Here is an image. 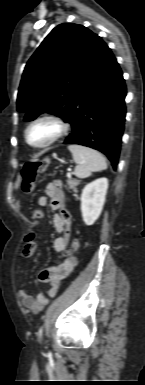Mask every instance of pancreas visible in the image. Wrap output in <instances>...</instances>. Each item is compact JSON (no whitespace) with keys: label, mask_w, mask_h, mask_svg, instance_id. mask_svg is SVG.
Instances as JSON below:
<instances>
[{"label":"pancreas","mask_w":145,"mask_h":385,"mask_svg":"<svg viewBox=\"0 0 145 385\" xmlns=\"http://www.w3.org/2000/svg\"><path fill=\"white\" fill-rule=\"evenodd\" d=\"M80 184L79 180L76 179H69L67 182V187L72 190L73 192H77V186Z\"/></svg>","instance_id":"1"}]
</instances>
